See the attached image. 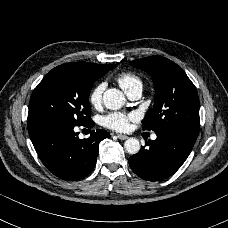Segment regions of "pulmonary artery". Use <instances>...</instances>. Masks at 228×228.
I'll return each mask as SVG.
<instances>
[{"label": "pulmonary artery", "mask_w": 228, "mask_h": 228, "mask_svg": "<svg viewBox=\"0 0 228 228\" xmlns=\"http://www.w3.org/2000/svg\"><path fill=\"white\" fill-rule=\"evenodd\" d=\"M127 95L132 100H138L141 97V95H142V88L141 87L136 88L135 90L129 92ZM156 138H157L156 134H152L151 135V139L152 140H155Z\"/></svg>", "instance_id": "e3ab8cb5"}]
</instances>
